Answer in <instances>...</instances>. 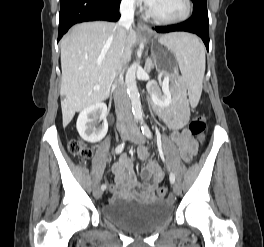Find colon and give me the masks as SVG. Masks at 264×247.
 <instances>
[{
  "instance_id": "colon-1",
  "label": "colon",
  "mask_w": 264,
  "mask_h": 247,
  "mask_svg": "<svg viewBox=\"0 0 264 247\" xmlns=\"http://www.w3.org/2000/svg\"><path fill=\"white\" fill-rule=\"evenodd\" d=\"M189 130L199 141H203L205 138L206 120L205 117L200 115L195 117L189 126ZM70 152L78 157L80 161L86 162L92 156V149L88 145L79 140H73L69 144ZM157 195L159 198H167L170 195V191L166 187H160L157 189Z\"/></svg>"
}]
</instances>
